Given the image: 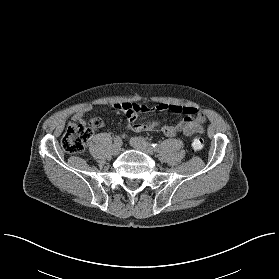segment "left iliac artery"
Returning <instances> with one entry per match:
<instances>
[{"mask_svg":"<svg viewBox=\"0 0 279 279\" xmlns=\"http://www.w3.org/2000/svg\"><path fill=\"white\" fill-rule=\"evenodd\" d=\"M151 146H152L153 150L156 152H159L162 147L160 144H157V143H153V144H151Z\"/></svg>","mask_w":279,"mask_h":279,"instance_id":"obj_1","label":"left iliac artery"}]
</instances>
